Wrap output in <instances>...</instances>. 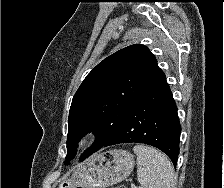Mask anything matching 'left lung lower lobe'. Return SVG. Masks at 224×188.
Returning a JSON list of instances; mask_svg holds the SVG:
<instances>
[{"instance_id":"0a47b994","label":"left lung lower lobe","mask_w":224,"mask_h":188,"mask_svg":"<svg viewBox=\"0 0 224 188\" xmlns=\"http://www.w3.org/2000/svg\"><path fill=\"white\" fill-rule=\"evenodd\" d=\"M180 132L177 107L164 77L134 101L102 147L132 142L148 144L162 150L176 166Z\"/></svg>"}]
</instances>
